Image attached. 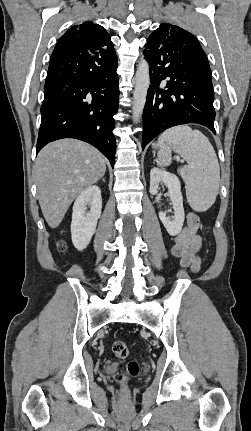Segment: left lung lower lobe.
Masks as SVG:
<instances>
[{"label": "left lung lower lobe", "instance_id": "1", "mask_svg": "<svg viewBox=\"0 0 251 431\" xmlns=\"http://www.w3.org/2000/svg\"><path fill=\"white\" fill-rule=\"evenodd\" d=\"M143 54L151 85L143 111L142 149L176 125L198 123L215 133L212 75L203 49L192 41L175 44L149 37Z\"/></svg>", "mask_w": 251, "mask_h": 431}]
</instances>
